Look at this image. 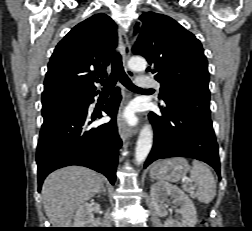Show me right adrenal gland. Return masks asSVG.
Masks as SVG:
<instances>
[{
    "instance_id": "1",
    "label": "right adrenal gland",
    "mask_w": 252,
    "mask_h": 231,
    "mask_svg": "<svg viewBox=\"0 0 252 231\" xmlns=\"http://www.w3.org/2000/svg\"><path fill=\"white\" fill-rule=\"evenodd\" d=\"M101 193H103L104 195L106 194V189H105L104 186H102V188H101L99 194H101Z\"/></svg>"
}]
</instances>
